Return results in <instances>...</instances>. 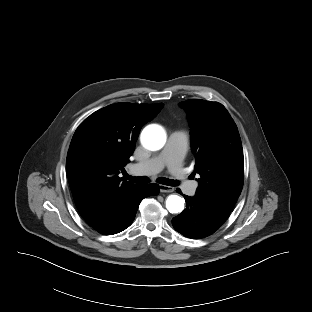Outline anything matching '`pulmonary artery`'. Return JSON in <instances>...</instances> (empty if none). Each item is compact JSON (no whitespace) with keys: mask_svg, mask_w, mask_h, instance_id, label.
<instances>
[{"mask_svg":"<svg viewBox=\"0 0 312 312\" xmlns=\"http://www.w3.org/2000/svg\"><path fill=\"white\" fill-rule=\"evenodd\" d=\"M188 136L182 131L172 132L161 151V153L145 162H138L133 165V169L137 172L157 173L164 167H168L169 171L177 178L179 184L189 195H193L196 191V183L187 179L182 168V161L188 149Z\"/></svg>","mask_w":312,"mask_h":312,"instance_id":"obj_1","label":"pulmonary artery"}]
</instances>
